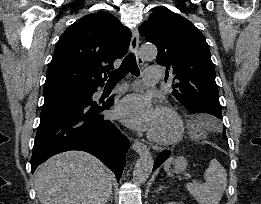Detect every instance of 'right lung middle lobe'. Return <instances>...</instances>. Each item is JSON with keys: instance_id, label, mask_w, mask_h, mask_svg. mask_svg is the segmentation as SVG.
I'll return each instance as SVG.
<instances>
[{"instance_id": "1", "label": "right lung middle lobe", "mask_w": 261, "mask_h": 204, "mask_svg": "<svg viewBox=\"0 0 261 204\" xmlns=\"http://www.w3.org/2000/svg\"><path fill=\"white\" fill-rule=\"evenodd\" d=\"M83 94H84V91L47 94V95H44V97H45L44 102H50V101H54V100L75 97V96H79V95H83Z\"/></svg>"}]
</instances>
